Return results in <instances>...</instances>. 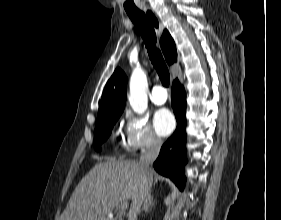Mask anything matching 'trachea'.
I'll use <instances>...</instances> for the list:
<instances>
[{
	"label": "trachea",
	"instance_id": "obj_1",
	"mask_svg": "<svg viewBox=\"0 0 281 220\" xmlns=\"http://www.w3.org/2000/svg\"><path fill=\"white\" fill-rule=\"evenodd\" d=\"M126 12L141 34L150 60L155 67L162 84L165 87H169L170 74L160 50L156 47L157 39L152 25L141 10H126Z\"/></svg>",
	"mask_w": 281,
	"mask_h": 220
}]
</instances>
